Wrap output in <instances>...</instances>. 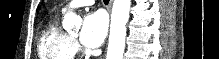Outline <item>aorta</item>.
I'll return each instance as SVG.
<instances>
[{"instance_id": "762f6f07", "label": "aorta", "mask_w": 219, "mask_h": 59, "mask_svg": "<svg viewBox=\"0 0 219 59\" xmlns=\"http://www.w3.org/2000/svg\"><path fill=\"white\" fill-rule=\"evenodd\" d=\"M130 6L131 0H114L106 59H123L126 24L129 19ZM78 24L79 19L73 12L65 14L63 19V27L65 29Z\"/></svg>"}]
</instances>
